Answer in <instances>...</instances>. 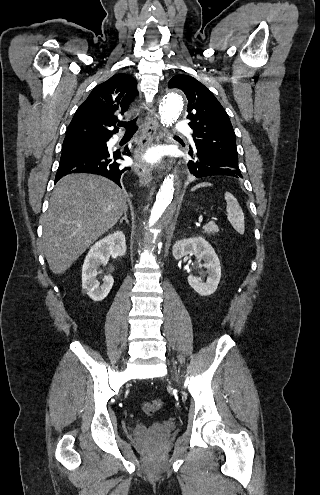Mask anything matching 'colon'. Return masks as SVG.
I'll return each instance as SVG.
<instances>
[{
    "instance_id": "5ec220e1",
    "label": "colon",
    "mask_w": 320,
    "mask_h": 495,
    "mask_svg": "<svg viewBox=\"0 0 320 495\" xmlns=\"http://www.w3.org/2000/svg\"><path fill=\"white\" fill-rule=\"evenodd\" d=\"M162 405V400L153 399L145 402L143 405V409L147 415L154 416L160 412V410L162 409Z\"/></svg>"
}]
</instances>
